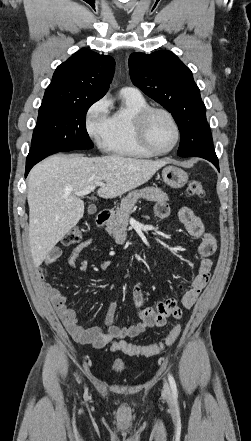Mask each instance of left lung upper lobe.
Masks as SVG:
<instances>
[{
    "label": "left lung upper lobe",
    "instance_id": "5c2ea615",
    "mask_svg": "<svg viewBox=\"0 0 251 441\" xmlns=\"http://www.w3.org/2000/svg\"><path fill=\"white\" fill-rule=\"evenodd\" d=\"M129 72L135 86L172 114L180 138L197 124L207 123L206 108L192 72L172 52L133 53Z\"/></svg>",
    "mask_w": 251,
    "mask_h": 441
}]
</instances>
